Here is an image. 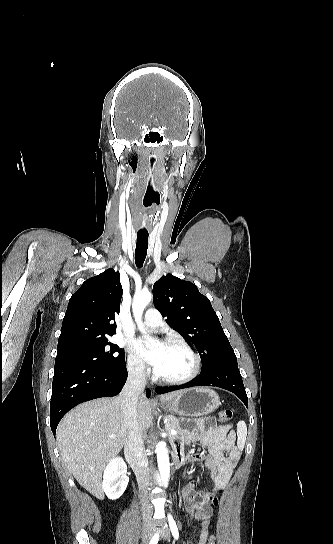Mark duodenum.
Masks as SVG:
<instances>
[{"instance_id":"obj_1","label":"duodenum","mask_w":333,"mask_h":544,"mask_svg":"<svg viewBox=\"0 0 333 544\" xmlns=\"http://www.w3.org/2000/svg\"><path fill=\"white\" fill-rule=\"evenodd\" d=\"M126 458H127L128 462L131 464V466L134 468V470L137 473H140L141 472V467H140L138 461L136 460L135 451L132 448L128 447L126 449ZM182 462H183L182 455L179 454V453H175L174 457H173L174 466L179 467L182 464Z\"/></svg>"}]
</instances>
